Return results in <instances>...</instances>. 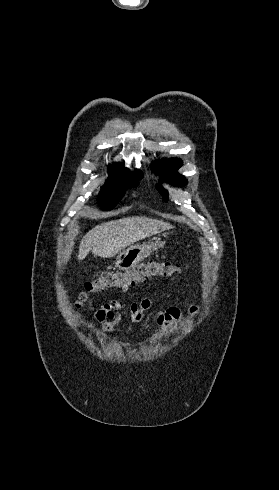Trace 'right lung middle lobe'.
<instances>
[{"instance_id": "dd1d6c3e", "label": "right lung middle lobe", "mask_w": 279, "mask_h": 490, "mask_svg": "<svg viewBox=\"0 0 279 490\" xmlns=\"http://www.w3.org/2000/svg\"><path fill=\"white\" fill-rule=\"evenodd\" d=\"M143 174L140 171L124 172L123 174L109 178L106 184L102 187L99 195V202L106 210H111L124 196L128 188L136 187L138 180L142 179Z\"/></svg>"}]
</instances>
